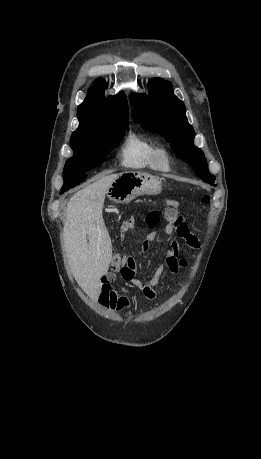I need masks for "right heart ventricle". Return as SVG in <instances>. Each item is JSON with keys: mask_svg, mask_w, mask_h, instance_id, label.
<instances>
[{"mask_svg": "<svg viewBox=\"0 0 261 459\" xmlns=\"http://www.w3.org/2000/svg\"><path fill=\"white\" fill-rule=\"evenodd\" d=\"M158 145L148 136L131 133L127 136L119 152L122 166L131 169L157 170L155 153Z\"/></svg>", "mask_w": 261, "mask_h": 459, "instance_id": "obj_1", "label": "right heart ventricle"}]
</instances>
